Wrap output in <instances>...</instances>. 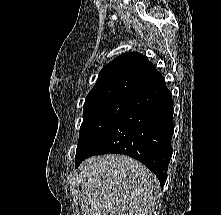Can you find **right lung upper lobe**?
Masks as SVG:
<instances>
[{
	"instance_id": "cb5924a9",
	"label": "right lung upper lobe",
	"mask_w": 221,
	"mask_h": 215,
	"mask_svg": "<svg viewBox=\"0 0 221 215\" xmlns=\"http://www.w3.org/2000/svg\"><path fill=\"white\" fill-rule=\"evenodd\" d=\"M162 80V75L143 55L125 53L103 67L85 103L111 98L132 100Z\"/></svg>"
}]
</instances>
